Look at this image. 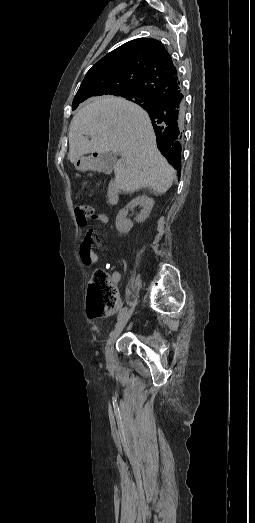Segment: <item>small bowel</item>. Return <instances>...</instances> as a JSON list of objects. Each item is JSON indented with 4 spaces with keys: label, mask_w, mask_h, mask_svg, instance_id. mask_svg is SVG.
I'll use <instances>...</instances> for the list:
<instances>
[{
    "label": "small bowel",
    "mask_w": 255,
    "mask_h": 523,
    "mask_svg": "<svg viewBox=\"0 0 255 523\" xmlns=\"http://www.w3.org/2000/svg\"><path fill=\"white\" fill-rule=\"evenodd\" d=\"M93 220L99 223H107L109 221L108 217L104 214H96L93 217ZM99 243L98 240V230L95 227H88L85 230L83 239L80 246V257L84 264L91 266L98 261V255L95 251ZM111 279L115 285H117L121 279V275L118 272H113Z\"/></svg>",
    "instance_id": "c3829d8e"
}]
</instances>
